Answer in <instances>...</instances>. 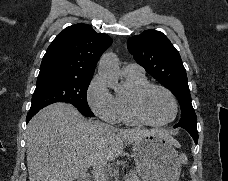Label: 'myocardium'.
Segmentation results:
<instances>
[{"mask_svg": "<svg viewBox=\"0 0 228 181\" xmlns=\"http://www.w3.org/2000/svg\"><path fill=\"white\" fill-rule=\"evenodd\" d=\"M151 89L160 90L168 97L170 104H171V115L168 118L161 120V121H153V120L149 119L147 117V115L145 114L143 105H142V97L147 91H149ZM131 109H132V112H133L135 118L137 120H139L140 122L148 124V125L160 126V125H164V124L170 122L173 119V117L175 116V113H176V102L174 100V97L168 90H166L165 88H163L159 85L148 83L146 85L141 86L140 88H138L136 90L133 100L131 102Z\"/></svg>", "mask_w": 228, "mask_h": 181, "instance_id": "1", "label": "myocardium"}]
</instances>
